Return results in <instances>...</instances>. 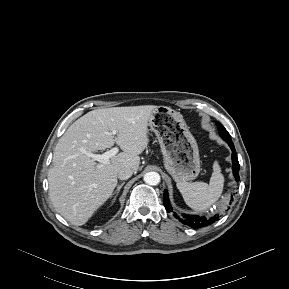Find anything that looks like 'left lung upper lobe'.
<instances>
[{
	"label": "left lung upper lobe",
	"mask_w": 289,
	"mask_h": 289,
	"mask_svg": "<svg viewBox=\"0 0 289 289\" xmlns=\"http://www.w3.org/2000/svg\"><path fill=\"white\" fill-rule=\"evenodd\" d=\"M216 125L218 127L219 134L222 138L230 137L228 131L224 128V126L220 122L216 121Z\"/></svg>",
	"instance_id": "left-lung-upper-lobe-1"
}]
</instances>
